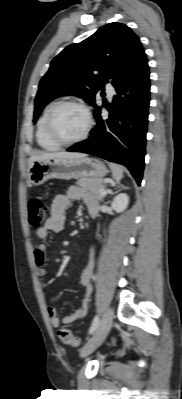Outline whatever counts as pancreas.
<instances>
[{
  "label": "pancreas",
  "instance_id": "cf45deb5",
  "mask_svg": "<svg viewBox=\"0 0 182 399\" xmlns=\"http://www.w3.org/2000/svg\"><path fill=\"white\" fill-rule=\"evenodd\" d=\"M77 185L86 191L92 192L99 200H102L104 195L101 190L105 189L103 179L99 178H81L77 181Z\"/></svg>",
  "mask_w": 182,
  "mask_h": 399
}]
</instances>
